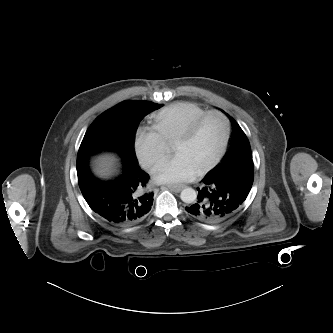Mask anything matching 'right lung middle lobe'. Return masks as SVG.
Wrapping results in <instances>:
<instances>
[{
	"instance_id": "obj_1",
	"label": "right lung middle lobe",
	"mask_w": 333,
	"mask_h": 333,
	"mask_svg": "<svg viewBox=\"0 0 333 333\" xmlns=\"http://www.w3.org/2000/svg\"><path fill=\"white\" fill-rule=\"evenodd\" d=\"M161 106L149 101H123L105 111L88 128L77 158L113 151L123 160L138 164L133 148L135 131L148 113Z\"/></svg>"
}]
</instances>
